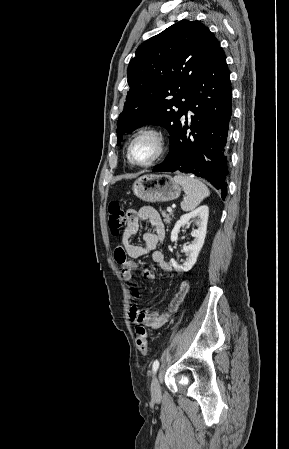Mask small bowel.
Returning <instances> with one entry per match:
<instances>
[{
	"mask_svg": "<svg viewBox=\"0 0 289 449\" xmlns=\"http://www.w3.org/2000/svg\"><path fill=\"white\" fill-rule=\"evenodd\" d=\"M141 224L150 225L152 230L144 233L142 244H134L132 237L137 234ZM164 235V224L159 213L154 208L143 207L138 211L131 210L128 212L122 244L117 246L114 252L115 260L120 264L121 274L125 280H131L134 272L139 269L135 259L149 253H151L153 261L161 270H172L171 264L166 260L163 253L156 250L157 245L164 239ZM141 273L147 279L152 280L155 278V273L149 268H142ZM188 289L189 285L187 282L184 281L180 284L178 292L169 304L166 312L143 311L137 306H132L129 311L131 322L151 329L162 327L167 323L170 316L176 312Z\"/></svg>",
	"mask_w": 289,
	"mask_h": 449,
	"instance_id": "c3829d8e",
	"label": "small bowel"
}]
</instances>
